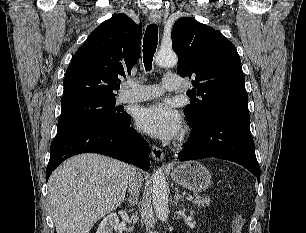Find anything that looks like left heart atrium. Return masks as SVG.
<instances>
[{
  "mask_svg": "<svg viewBox=\"0 0 306 233\" xmlns=\"http://www.w3.org/2000/svg\"><path fill=\"white\" fill-rule=\"evenodd\" d=\"M138 129L161 139H172L181 130V118L168 103L156 102L140 109L136 117Z\"/></svg>",
  "mask_w": 306,
  "mask_h": 233,
  "instance_id": "1",
  "label": "left heart atrium"
}]
</instances>
